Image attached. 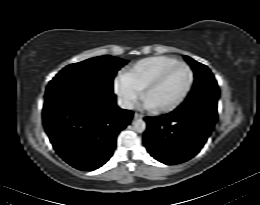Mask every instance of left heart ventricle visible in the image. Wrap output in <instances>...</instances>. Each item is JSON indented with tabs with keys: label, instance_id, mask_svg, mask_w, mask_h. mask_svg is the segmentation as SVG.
Wrapping results in <instances>:
<instances>
[{
	"label": "left heart ventricle",
	"instance_id": "left-heart-ventricle-1",
	"mask_svg": "<svg viewBox=\"0 0 260 205\" xmlns=\"http://www.w3.org/2000/svg\"><path fill=\"white\" fill-rule=\"evenodd\" d=\"M188 82V70L183 66L173 67L148 92L146 101H149L155 107L168 105L183 93Z\"/></svg>",
	"mask_w": 260,
	"mask_h": 205
}]
</instances>
